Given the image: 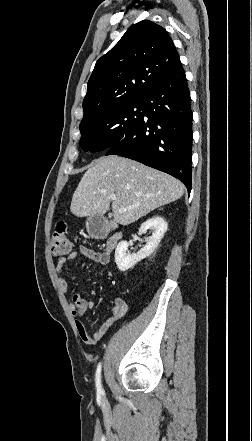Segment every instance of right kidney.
Wrapping results in <instances>:
<instances>
[{
	"instance_id": "right-kidney-1",
	"label": "right kidney",
	"mask_w": 252,
	"mask_h": 441,
	"mask_svg": "<svg viewBox=\"0 0 252 441\" xmlns=\"http://www.w3.org/2000/svg\"><path fill=\"white\" fill-rule=\"evenodd\" d=\"M167 228V222L160 216H154L144 222L139 229V234L146 233L148 229H152L153 233L146 239V245L137 254H129L127 252L129 246L128 242H119L115 250V262L119 270L123 272L127 271L139 261L150 256L158 247Z\"/></svg>"
}]
</instances>
